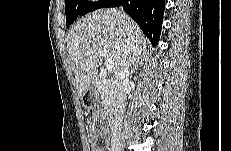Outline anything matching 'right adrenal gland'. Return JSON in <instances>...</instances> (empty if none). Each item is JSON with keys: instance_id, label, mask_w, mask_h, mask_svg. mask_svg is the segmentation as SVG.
Instances as JSON below:
<instances>
[{"instance_id": "right-adrenal-gland-1", "label": "right adrenal gland", "mask_w": 231, "mask_h": 151, "mask_svg": "<svg viewBox=\"0 0 231 151\" xmlns=\"http://www.w3.org/2000/svg\"><path fill=\"white\" fill-rule=\"evenodd\" d=\"M144 62H145V58L140 57V58L136 61L135 65L133 66V68H132V70H131V74H133V73L136 72L138 66L144 65V64H145Z\"/></svg>"}]
</instances>
